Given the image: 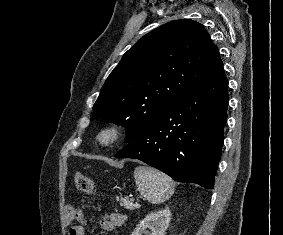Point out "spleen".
I'll return each instance as SVG.
<instances>
[{"mask_svg":"<svg viewBox=\"0 0 283 235\" xmlns=\"http://www.w3.org/2000/svg\"><path fill=\"white\" fill-rule=\"evenodd\" d=\"M134 178L139 193L152 204L168 200L175 188V182L163 172L146 166L134 170Z\"/></svg>","mask_w":283,"mask_h":235,"instance_id":"1","label":"spleen"}]
</instances>
